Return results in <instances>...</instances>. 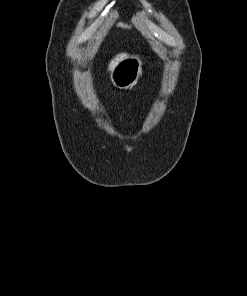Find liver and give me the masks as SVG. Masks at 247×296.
<instances>
[{
    "label": "liver",
    "mask_w": 247,
    "mask_h": 296,
    "mask_svg": "<svg viewBox=\"0 0 247 296\" xmlns=\"http://www.w3.org/2000/svg\"><path fill=\"white\" fill-rule=\"evenodd\" d=\"M127 56L126 53H121V54H118L116 55V57H114L110 63H109V67H108V70H112L113 67L120 61L122 60L123 58H125Z\"/></svg>",
    "instance_id": "1"
}]
</instances>
